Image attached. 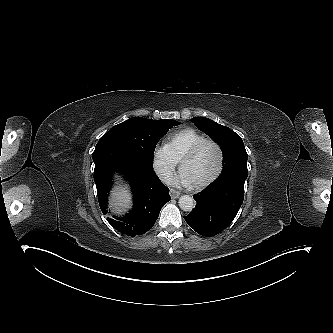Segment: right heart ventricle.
Masks as SVG:
<instances>
[{
	"label": "right heart ventricle",
	"instance_id": "e07e8e85",
	"mask_svg": "<svg viewBox=\"0 0 333 333\" xmlns=\"http://www.w3.org/2000/svg\"><path fill=\"white\" fill-rule=\"evenodd\" d=\"M206 139V136L194 129H184L172 135L167 142V147L177 161L197 143Z\"/></svg>",
	"mask_w": 333,
	"mask_h": 333
}]
</instances>
